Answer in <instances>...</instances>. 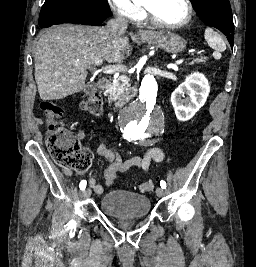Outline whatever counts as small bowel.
Here are the masks:
<instances>
[{"mask_svg":"<svg viewBox=\"0 0 256 267\" xmlns=\"http://www.w3.org/2000/svg\"><path fill=\"white\" fill-rule=\"evenodd\" d=\"M79 140L83 141L84 137L80 136ZM96 152L106 161L102 179L107 187H111L115 183L119 173H125L132 167H138L146 171L152 162H162L165 157L164 152L158 147H151L142 155L132 157L126 161H122L117 152L105 144L99 145ZM65 174L70 175V171L65 170ZM80 175H86V172L82 171ZM89 184L96 193H103L104 187L95 178H90Z\"/></svg>","mask_w":256,"mask_h":267,"instance_id":"1","label":"small bowel"}]
</instances>
